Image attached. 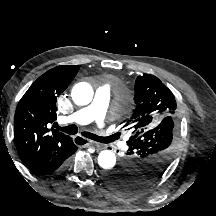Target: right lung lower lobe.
<instances>
[{
  "instance_id": "right-lung-lower-lobe-1",
  "label": "right lung lower lobe",
  "mask_w": 216,
  "mask_h": 216,
  "mask_svg": "<svg viewBox=\"0 0 216 216\" xmlns=\"http://www.w3.org/2000/svg\"><path fill=\"white\" fill-rule=\"evenodd\" d=\"M76 150L77 147L72 141L69 146L58 149L46 159H44L41 163L28 169L36 175H50L55 171L63 168L67 158L74 154Z\"/></svg>"
}]
</instances>
